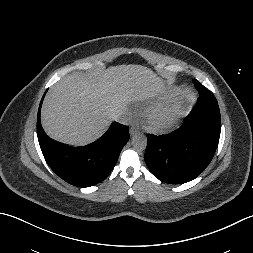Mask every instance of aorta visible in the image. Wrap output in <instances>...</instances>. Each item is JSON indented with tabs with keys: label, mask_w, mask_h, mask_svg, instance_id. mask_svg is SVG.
<instances>
[{
	"label": "aorta",
	"mask_w": 253,
	"mask_h": 253,
	"mask_svg": "<svg viewBox=\"0 0 253 253\" xmlns=\"http://www.w3.org/2000/svg\"><path fill=\"white\" fill-rule=\"evenodd\" d=\"M132 145L136 151H144L147 147V137L142 133H137L132 137Z\"/></svg>",
	"instance_id": "1"
}]
</instances>
